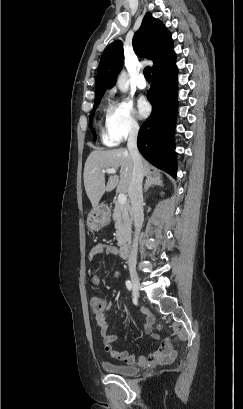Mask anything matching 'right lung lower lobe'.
<instances>
[{
	"instance_id": "98d812e1",
	"label": "right lung lower lobe",
	"mask_w": 243,
	"mask_h": 409,
	"mask_svg": "<svg viewBox=\"0 0 243 409\" xmlns=\"http://www.w3.org/2000/svg\"><path fill=\"white\" fill-rule=\"evenodd\" d=\"M174 51L152 71L148 91L152 113L142 124L137 146L151 164L176 178L174 129L177 116V67Z\"/></svg>"
}]
</instances>
